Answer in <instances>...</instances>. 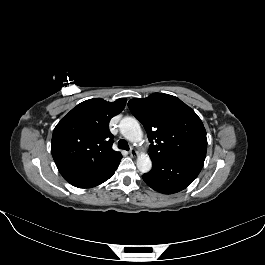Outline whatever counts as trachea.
Listing matches in <instances>:
<instances>
[{"mask_svg":"<svg viewBox=\"0 0 265 265\" xmlns=\"http://www.w3.org/2000/svg\"><path fill=\"white\" fill-rule=\"evenodd\" d=\"M118 148L122 150H129V145L124 139L118 141Z\"/></svg>","mask_w":265,"mask_h":265,"instance_id":"trachea-1","label":"trachea"}]
</instances>
